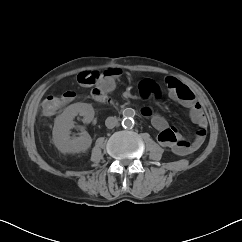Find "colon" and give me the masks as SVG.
I'll return each mask as SVG.
<instances>
[{
  "instance_id": "5ec220e1",
  "label": "colon",
  "mask_w": 242,
  "mask_h": 242,
  "mask_svg": "<svg viewBox=\"0 0 242 242\" xmlns=\"http://www.w3.org/2000/svg\"><path fill=\"white\" fill-rule=\"evenodd\" d=\"M99 78V73H90L86 72L81 75V82L83 84L93 85L95 84L96 80ZM140 91L145 95H159L160 88L159 86L154 83L153 81L145 80L143 81L139 86ZM179 91L183 95H187L185 89L183 87L179 88ZM106 91L102 90L97 95V99H102L106 95ZM69 100V97L67 94H61V95H53L48 96L45 98L43 102V111L46 114H53L59 111Z\"/></svg>"
}]
</instances>
